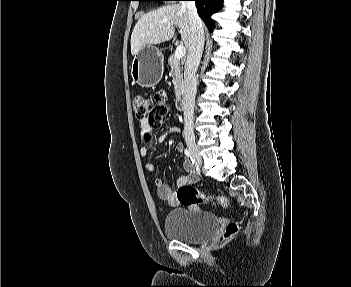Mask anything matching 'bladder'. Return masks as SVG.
I'll use <instances>...</instances> for the list:
<instances>
[{
	"label": "bladder",
	"mask_w": 351,
	"mask_h": 287,
	"mask_svg": "<svg viewBox=\"0 0 351 287\" xmlns=\"http://www.w3.org/2000/svg\"><path fill=\"white\" fill-rule=\"evenodd\" d=\"M218 225L217 216L210 211L180 208L167 214L164 231L170 239L197 244L212 238Z\"/></svg>",
	"instance_id": "1"
}]
</instances>
